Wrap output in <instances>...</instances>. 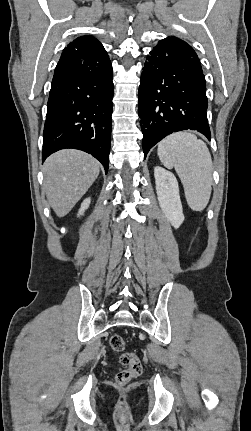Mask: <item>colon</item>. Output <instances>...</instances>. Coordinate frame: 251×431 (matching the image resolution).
Listing matches in <instances>:
<instances>
[{"instance_id": "obj_1", "label": "colon", "mask_w": 251, "mask_h": 431, "mask_svg": "<svg viewBox=\"0 0 251 431\" xmlns=\"http://www.w3.org/2000/svg\"><path fill=\"white\" fill-rule=\"evenodd\" d=\"M110 347L113 351L122 353L119 357L120 364L124 367L116 374V382L119 385H126L132 379L142 374L143 367L139 357L130 352H123L125 349V340L122 336L115 334L110 338Z\"/></svg>"}]
</instances>
